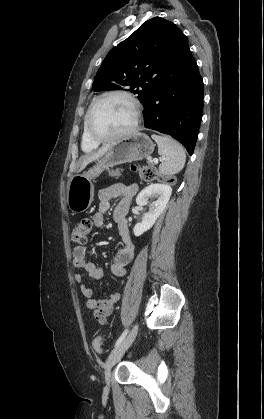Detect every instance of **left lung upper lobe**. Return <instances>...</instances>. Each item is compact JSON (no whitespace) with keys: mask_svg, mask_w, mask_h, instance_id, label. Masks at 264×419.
I'll return each mask as SVG.
<instances>
[{"mask_svg":"<svg viewBox=\"0 0 264 419\" xmlns=\"http://www.w3.org/2000/svg\"><path fill=\"white\" fill-rule=\"evenodd\" d=\"M183 33L160 17L144 22L105 57L93 83L94 91L129 86L144 105L153 85L170 75L175 44Z\"/></svg>","mask_w":264,"mask_h":419,"instance_id":"obj_1","label":"left lung upper lobe"}]
</instances>
